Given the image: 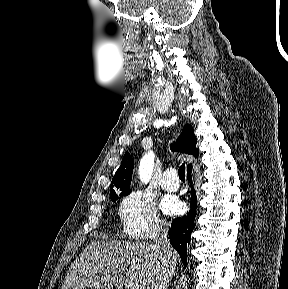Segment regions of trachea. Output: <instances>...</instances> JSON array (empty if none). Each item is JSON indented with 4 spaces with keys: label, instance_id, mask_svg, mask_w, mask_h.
Returning <instances> with one entry per match:
<instances>
[{
    "label": "trachea",
    "instance_id": "3493384b",
    "mask_svg": "<svg viewBox=\"0 0 288 289\" xmlns=\"http://www.w3.org/2000/svg\"><path fill=\"white\" fill-rule=\"evenodd\" d=\"M179 178L184 181L185 180V164H182L178 169Z\"/></svg>",
    "mask_w": 288,
    "mask_h": 289
}]
</instances>
